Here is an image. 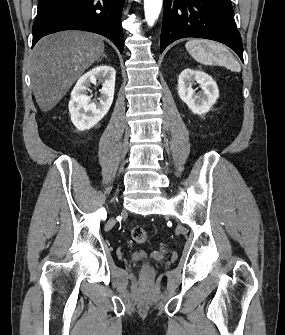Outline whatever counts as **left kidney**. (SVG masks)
<instances>
[{"label": "left kidney", "instance_id": "left-kidney-1", "mask_svg": "<svg viewBox=\"0 0 285 335\" xmlns=\"http://www.w3.org/2000/svg\"><path fill=\"white\" fill-rule=\"evenodd\" d=\"M195 82L202 90L200 94H195L192 88ZM178 94L193 114H206L219 98L218 86L213 78L205 72L190 70V68H186L179 74Z\"/></svg>", "mask_w": 285, "mask_h": 335}]
</instances>
